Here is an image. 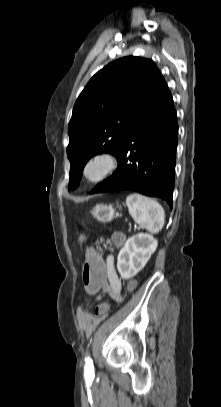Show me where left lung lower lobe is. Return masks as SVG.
Masks as SVG:
<instances>
[{
	"instance_id": "obj_1",
	"label": "left lung lower lobe",
	"mask_w": 221,
	"mask_h": 407,
	"mask_svg": "<svg viewBox=\"0 0 221 407\" xmlns=\"http://www.w3.org/2000/svg\"><path fill=\"white\" fill-rule=\"evenodd\" d=\"M177 136L176 110L163 78L130 125L116 155L117 170L90 193L132 190L164 199L172 208Z\"/></svg>"
}]
</instances>
